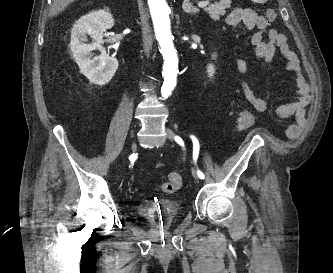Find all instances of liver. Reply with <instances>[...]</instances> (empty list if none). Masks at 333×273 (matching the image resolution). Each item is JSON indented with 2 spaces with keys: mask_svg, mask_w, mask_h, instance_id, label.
Here are the masks:
<instances>
[{
  "mask_svg": "<svg viewBox=\"0 0 333 273\" xmlns=\"http://www.w3.org/2000/svg\"><path fill=\"white\" fill-rule=\"evenodd\" d=\"M75 0H53L52 15H57Z\"/></svg>",
  "mask_w": 333,
  "mask_h": 273,
  "instance_id": "obj_1",
  "label": "liver"
}]
</instances>
